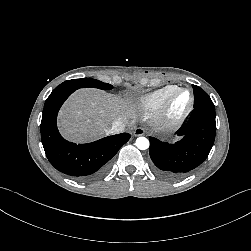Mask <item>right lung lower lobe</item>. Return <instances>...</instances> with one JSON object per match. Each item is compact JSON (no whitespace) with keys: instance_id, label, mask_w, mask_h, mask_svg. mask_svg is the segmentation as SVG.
I'll use <instances>...</instances> for the list:
<instances>
[{"instance_id":"right-lung-lower-lobe-1","label":"right lung lower lobe","mask_w":251,"mask_h":251,"mask_svg":"<svg viewBox=\"0 0 251 251\" xmlns=\"http://www.w3.org/2000/svg\"><path fill=\"white\" fill-rule=\"evenodd\" d=\"M74 89L53 90L47 98L41 121V139L50 163L60 172L81 180L106 173L109 160L129 140L130 134L108 136L87 144L65 140L56 125L58 111Z\"/></svg>"}]
</instances>
